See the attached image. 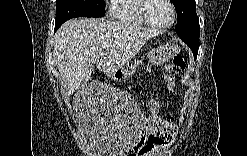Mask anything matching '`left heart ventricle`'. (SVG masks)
<instances>
[{
	"instance_id": "obj_1",
	"label": "left heart ventricle",
	"mask_w": 247,
	"mask_h": 156,
	"mask_svg": "<svg viewBox=\"0 0 247 156\" xmlns=\"http://www.w3.org/2000/svg\"><path fill=\"white\" fill-rule=\"evenodd\" d=\"M147 14L152 21L160 24L168 23L172 17L171 9L164 0L149 1Z\"/></svg>"
}]
</instances>
